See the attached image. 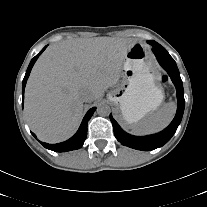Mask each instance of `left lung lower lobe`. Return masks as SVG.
I'll return each mask as SVG.
<instances>
[{
    "instance_id": "obj_1",
    "label": "left lung lower lobe",
    "mask_w": 207,
    "mask_h": 207,
    "mask_svg": "<svg viewBox=\"0 0 207 207\" xmlns=\"http://www.w3.org/2000/svg\"><path fill=\"white\" fill-rule=\"evenodd\" d=\"M153 46L152 50L160 63V65L168 72L177 90L178 108L176 116L171 124L160 133L149 135L145 137L132 136L124 132L118 123L110 115V120L113 125L114 135L116 139L125 146L133 149L149 151L159 148L166 144L176 132L184 112L185 100L183 84L180 77L176 62L169 55L167 50L155 41L149 43Z\"/></svg>"
}]
</instances>
